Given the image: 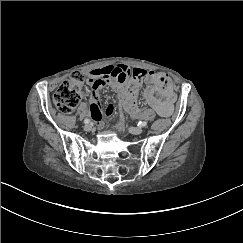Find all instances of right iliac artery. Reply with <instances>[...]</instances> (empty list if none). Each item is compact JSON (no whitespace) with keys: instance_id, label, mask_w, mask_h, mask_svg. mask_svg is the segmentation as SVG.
<instances>
[{"instance_id":"1","label":"right iliac artery","mask_w":243,"mask_h":243,"mask_svg":"<svg viewBox=\"0 0 243 243\" xmlns=\"http://www.w3.org/2000/svg\"><path fill=\"white\" fill-rule=\"evenodd\" d=\"M84 123H85V124H89V123H90V120H89V119H85V120H84Z\"/></svg>"}]
</instances>
